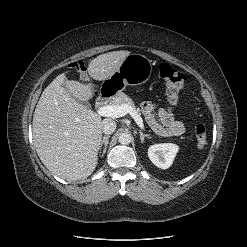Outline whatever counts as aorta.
Here are the masks:
<instances>
[{"instance_id":"1","label":"aorta","mask_w":247,"mask_h":247,"mask_svg":"<svg viewBox=\"0 0 247 247\" xmlns=\"http://www.w3.org/2000/svg\"><path fill=\"white\" fill-rule=\"evenodd\" d=\"M118 141L122 145H128L132 141V136L129 133L119 134Z\"/></svg>"}]
</instances>
